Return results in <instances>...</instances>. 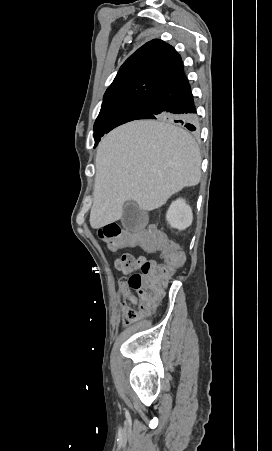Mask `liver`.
<instances>
[{
    "label": "liver",
    "instance_id": "liver-1",
    "mask_svg": "<svg viewBox=\"0 0 272 451\" xmlns=\"http://www.w3.org/2000/svg\"><path fill=\"white\" fill-rule=\"evenodd\" d=\"M95 168L89 222L103 227L122 218L125 202L150 212L186 186H197L201 154L191 134L165 116L109 132L97 148Z\"/></svg>",
    "mask_w": 272,
    "mask_h": 451
}]
</instances>
